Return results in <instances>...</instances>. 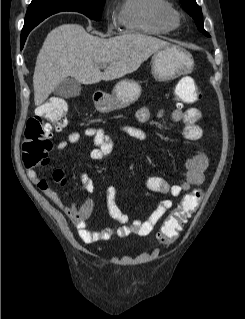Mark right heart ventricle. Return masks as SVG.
Listing matches in <instances>:
<instances>
[{
	"label": "right heart ventricle",
	"mask_w": 245,
	"mask_h": 319,
	"mask_svg": "<svg viewBox=\"0 0 245 319\" xmlns=\"http://www.w3.org/2000/svg\"><path fill=\"white\" fill-rule=\"evenodd\" d=\"M172 13L168 0H123L118 20L129 31L163 35L175 27Z\"/></svg>",
	"instance_id": "1"
}]
</instances>
